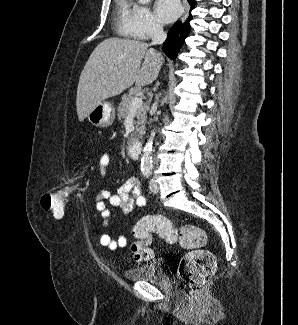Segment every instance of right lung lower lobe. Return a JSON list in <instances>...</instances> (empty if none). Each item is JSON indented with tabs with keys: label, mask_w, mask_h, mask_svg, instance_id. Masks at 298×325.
Here are the masks:
<instances>
[{
	"label": "right lung lower lobe",
	"mask_w": 298,
	"mask_h": 325,
	"mask_svg": "<svg viewBox=\"0 0 298 325\" xmlns=\"http://www.w3.org/2000/svg\"><path fill=\"white\" fill-rule=\"evenodd\" d=\"M191 9L195 7L194 0H188ZM192 19V15L190 14L189 18L187 19L186 23L182 24L180 21H177L169 30L167 40L163 44V50L166 55L171 58L175 59L185 38L188 36L190 32V24L189 21Z\"/></svg>",
	"instance_id": "98d812e1"
}]
</instances>
